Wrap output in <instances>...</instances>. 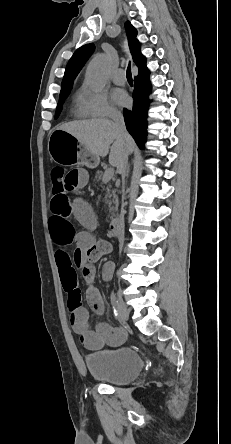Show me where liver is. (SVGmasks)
I'll use <instances>...</instances> for the list:
<instances>
[{
  "instance_id": "liver-1",
  "label": "liver",
  "mask_w": 231,
  "mask_h": 444,
  "mask_svg": "<svg viewBox=\"0 0 231 444\" xmlns=\"http://www.w3.org/2000/svg\"><path fill=\"white\" fill-rule=\"evenodd\" d=\"M76 137L81 144L98 157L109 153V163L118 168L125 156L133 152L135 143L128 134L126 142L119 134L114 123L106 119L73 121L57 127ZM112 147H110V145ZM129 146V150L128 147Z\"/></svg>"
}]
</instances>
